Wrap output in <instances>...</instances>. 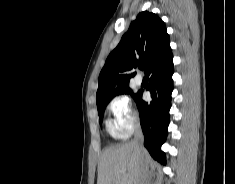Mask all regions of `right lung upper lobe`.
Here are the masks:
<instances>
[{
  "label": "right lung upper lobe",
  "mask_w": 235,
  "mask_h": 184,
  "mask_svg": "<svg viewBox=\"0 0 235 184\" xmlns=\"http://www.w3.org/2000/svg\"><path fill=\"white\" fill-rule=\"evenodd\" d=\"M171 53L165 23L154 13H139L100 72L97 106L107 105L114 89L129 86L130 78L135 74H129V71L144 64L147 73Z\"/></svg>",
  "instance_id": "right-lung-upper-lobe-1"
}]
</instances>
